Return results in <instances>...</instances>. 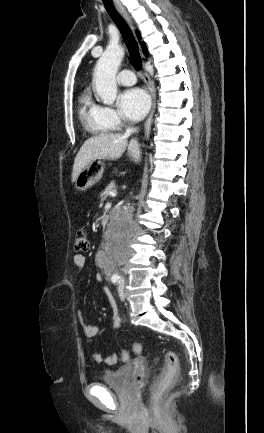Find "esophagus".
<instances>
[{
	"label": "esophagus",
	"mask_w": 264,
	"mask_h": 433,
	"mask_svg": "<svg viewBox=\"0 0 264 433\" xmlns=\"http://www.w3.org/2000/svg\"><path fill=\"white\" fill-rule=\"evenodd\" d=\"M114 4L117 8V10L122 14V16L125 18V20L127 21V23L130 25L132 31L134 32L135 28L133 26L132 20L130 15L128 14V12L126 11L125 7L123 6V4L118 1V0H114ZM144 80L147 84L149 93H150V97H151V102H152V107H151V111L150 114L144 124V135L145 138H147L150 134L151 131V125H152V121H153V115L155 112V107H156V93H155V87L153 82L150 80L147 72H144Z\"/></svg>",
	"instance_id": "1"
}]
</instances>
